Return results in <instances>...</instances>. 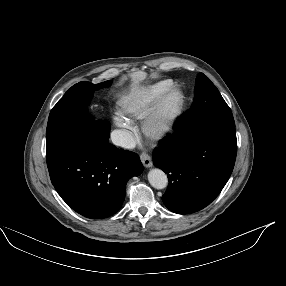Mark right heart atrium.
Listing matches in <instances>:
<instances>
[{"mask_svg":"<svg viewBox=\"0 0 286 286\" xmlns=\"http://www.w3.org/2000/svg\"><path fill=\"white\" fill-rule=\"evenodd\" d=\"M114 123L122 133V141L126 147H130L134 140V130L127 119L121 115L114 116Z\"/></svg>","mask_w":286,"mask_h":286,"instance_id":"d8ad5b80","label":"right heart atrium"}]
</instances>
